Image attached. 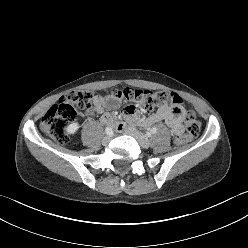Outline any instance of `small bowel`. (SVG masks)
I'll use <instances>...</instances> for the list:
<instances>
[{"instance_id":"small-bowel-1","label":"small bowel","mask_w":248,"mask_h":248,"mask_svg":"<svg viewBox=\"0 0 248 248\" xmlns=\"http://www.w3.org/2000/svg\"><path fill=\"white\" fill-rule=\"evenodd\" d=\"M122 106V101L119 98L96 96L93 101V109L90 114H98L101 116V121L115 129H123L124 124L119 122L113 116L115 109ZM123 114L128 120H137L143 125L164 122L171 129L174 135L183 133L184 110L176 106H161L153 115L146 118H139L136 108L132 105H127Z\"/></svg>"}]
</instances>
